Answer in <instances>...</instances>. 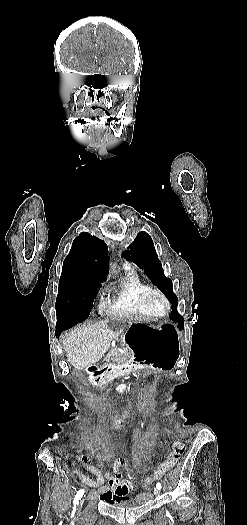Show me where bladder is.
<instances>
[{
  "instance_id": "obj_1",
  "label": "bladder",
  "mask_w": 247,
  "mask_h": 525,
  "mask_svg": "<svg viewBox=\"0 0 247 525\" xmlns=\"http://www.w3.org/2000/svg\"><path fill=\"white\" fill-rule=\"evenodd\" d=\"M144 495L135 496L133 499L128 501L115 502L114 507L121 508L122 510L132 509L134 507H141L145 501H141Z\"/></svg>"
}]
</instances>
